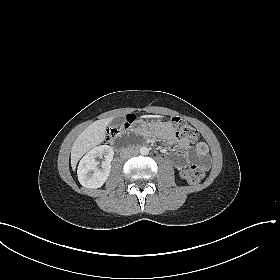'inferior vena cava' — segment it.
Instances as JSON below:
<instances>
[{
	"instance_id": "obj_1",
	"label": "inferior vena cava",
	"mask_w": 280,
	"mask_h": 280,
	"mask_svg": "<svg viewBox=\"0 0 280 280\" xmlns=\"http://www.w3.org/2000/svg\"><path fill=\"white\" fill-rule=\"evenodd\" d=\"M138 150L134 147H126L121 151V156L124 158H130L133 155H137Z\"/></svg>"
}]
</instances>
